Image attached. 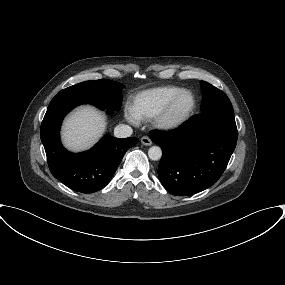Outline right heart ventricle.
<instances>
[{"mask_svg": "<svg viewBox=\"0 0 285 285\" xmlns=\"http://www.w3.org/2000/svg\"><path fill=\"white\" fill-rule=\"evenodd\" d=\"M184 90L178 86H161L140 91L133 96L130 109L138 119L153 118Z\"/></svg>", "mask_w": 285, "mask_h": 285, "instance_id": "right-heart-ventricle-1", "label": "right heart ventricle"}]
</instances>
